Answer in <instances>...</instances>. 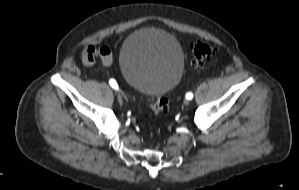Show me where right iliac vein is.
Here are the masks:
<instances>
[{
    "mask_svg": "<svg viewBox=\"0 0 299 190\" xmlns=\"http://www.w3.org/2000/svg\"><path fill=\"white\" fill-rule=\"evenodd\" d=\"M118 101H119V103H123V99H122L121 95H118Z\"/></svg>",
    "mask_w": 299,
    "mask_h": 190,
    "instance_id": "1",
    "label": "right iliac vein"
}]
</instances>
